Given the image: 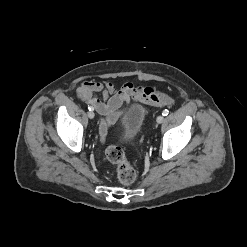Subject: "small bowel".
<instances>
[{"mask_svg":"<svg viewBox=\"0 0 247 247\" xmlns=\"http://www.w3.org/2000/svg\"><path fill=\"white\" fill-rule=\"evenodd\" d=\"M77 96L81 101L90 104L101 116L100 133L103 138L109 126L122 114L124 104L138 102L164 107L173 102L170 96L154 87L135 86L130 82L117 88L111 82L85 81L77 89Z\"/></svg>","mask_w":247,"mask_h":247,"instance_id":"small-bowel-1","label":"small bowel"}]
</instances>
